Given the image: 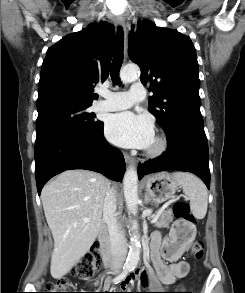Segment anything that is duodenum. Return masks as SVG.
Segmentation results:
<instances>
[{"mask_svg": "<svg viewBox=\"0 0 245 293\" xmlns=\"http://www.w3.org/2000/svg\"><path fill=\"white\" fill-rule=\"evenodd\" d=\"M98 242L100 244V255L106 264H109V232L106 228H102L98 234Z\"/></svg>", "mask_w": 245, "mask_h": 293, "instance_id": "1", "label": "duodenum"}]
</instances>
